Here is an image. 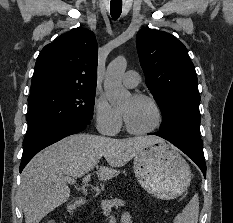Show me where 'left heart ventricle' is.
I'll return each mask as SVG.
<instances>
[{"mask_svg": "<svg viewBox=\"0 0 233 223\" xmlns=\"http://www.w3.org/2000/svg\"><path fill=\"white\" fill-rule=\"evenodd\" d=\"M119 110L128 125L135 131H147L157 124L156 111L148 101L130 97Z\"/></svg>", "mask_w": 233, "mask_h": 223, "instance_id": "left-heart-ventricle-1", "label": "left heart ventricle"}]
</instances>
